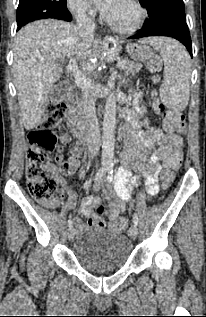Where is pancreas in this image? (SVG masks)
Instances as JSON below:
<instances>
[{
    "label": "pancreas",
    "mask_w": 206,
    "mask_h": 317,
    "mask_svg": "<svg viewBox=\"0 0 206 317\" xmlns=\"http://www.w3.org/2000/svg\"><path fill=\"white\" fill-rule=\"evenodd\" d=\"M142 68V65L137 61H125L124 67L122 68L125 73L135 75Z\"/></svg>",
    "instance_id": "obj_1"
}]
</instances>
